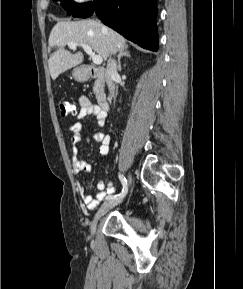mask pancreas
Segmentation results:
<instances>
[{"instance_id":"1","label":"pancreas","mask_w":243,"mask_h":289,"mask_svg":"<svg viewBox=\"0 0 243 289\" xmlns=\"http://www.w3.org/2000/svg\"><path fill=\"white\" fill-rule=\"evenodd\" d=\"M100 90H101V81L99 79H97L95 81L94 87H93V93L95 94L96 97L99 96Z\"/></svg>"}]
</instances>
